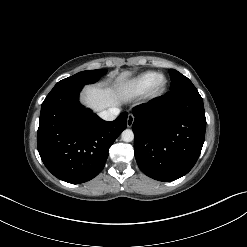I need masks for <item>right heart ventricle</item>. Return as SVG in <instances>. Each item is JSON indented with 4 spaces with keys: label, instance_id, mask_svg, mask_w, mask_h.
Here are the masks:
<instances>
[{
    "label": "right heart ventricle",
    "instance_id": "e07e8e85",
    "mask_svg": "<svg viewBox=\"0 0 247 247\" xmlns=\"http://www.w3.org/2000/svg\"><path fill=\"white\" fill-rule=\"evenodd\" d=\"M158 73L154 71L144 72L124 84L123 90L130 96H138L150 90Z\"/></svg>",
    "mask_w": 247,
    "mask_h": 247
}]
</instances>
